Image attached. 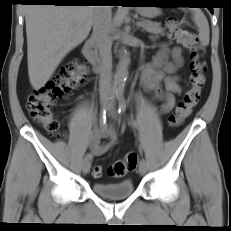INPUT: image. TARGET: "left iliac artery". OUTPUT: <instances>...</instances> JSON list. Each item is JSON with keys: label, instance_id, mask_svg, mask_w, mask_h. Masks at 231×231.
I'll list each match as a JSON object with an SVG mask.
<instances>
[{"label": "left iliac artery", "instance_id": "44dca946", "mask_svg": "<svg viewBox=\"0 0 231 231\" xmlns=\"http://www.w3.org/2000/svg\"><path fill=\"white\" fill-rule=\"evenodd\" d=\"M116 97L118 100V113L120 115L125 114L127 103L124 97V89H118L116 92ZM129 124H132L133 126H137L136 122L128 121Z\"/></svg>", "mask_w": 231, "mask_h": 231}]
</instances>
